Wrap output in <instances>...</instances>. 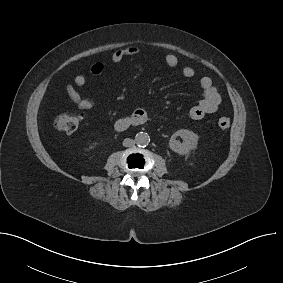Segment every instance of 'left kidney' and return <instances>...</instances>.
Returning a JSON list of instances; mask_svg holds the SVG:
<instances>
[{
  "mask_svg": "<svg viewBox=\"0 0 283 283\" xmlns=\"http://www.w3.org/2000/svg\"><path fill=\"white\" fill-rule=\"evenodd\" d=\"M177 136H181L184 141L181 143L176 140ZM198 135L192 131L181 129L176 131L169 140V148L180 155L187 154L190 150L194 149L198 144Z\"/></svg>",
  "mask_w": 283,
  "mask_h": 283,
  "instance_id": "1",
  "label": "left kidney"
}]
</instances>
